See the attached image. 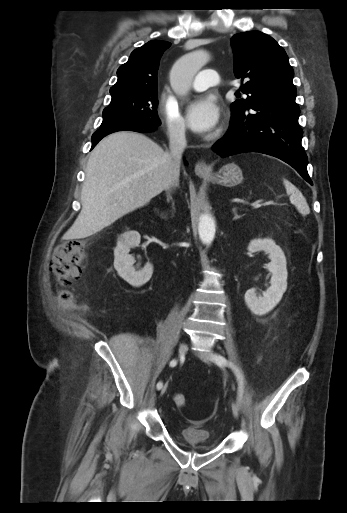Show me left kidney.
<instances>
[{"label": "left kidney", "mask_w": 347, "mask_h": 513, "mask_svg": "<svg viewBox=\"0 0 347 513\" xmlns=\"http://www.w3.org/2000/svg\"><path fill=\"white\" fill-rule=\"evenodd\" d=\"M249 252L264 251L271 262L268 269L272 273L271 286L257 296L256 289L252 288L245 293V303L255 315H265L271 311L282 299L287 289V262L282 249L270 238L254 239L248 245Z\"/></svg>", "instance_id": "5707ae66"}]
</instances>
